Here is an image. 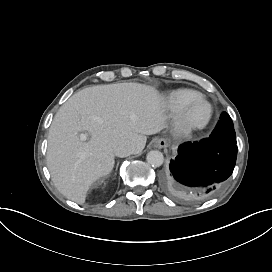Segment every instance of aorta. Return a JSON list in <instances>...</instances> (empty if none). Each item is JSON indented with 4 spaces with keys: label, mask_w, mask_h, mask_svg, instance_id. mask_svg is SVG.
I'll use <instances>...</instances> for the list:
<instances>
[{
    "label": "aorta",
    "mask_w": 272,
    "mask_h": 272,
    "mask_svg": "<svg viewBox=\"0 0 272 272\" xmlns=\"http://www.w3.org/2000/svg\"><path fill=\"white\" fill-rule=\"evenodd\" d=\"M164 157L160 151L152 150L147 154V162L154 167H159L163 164Z\"/></svg>",
    "instance_id": "1"
}]
</instances>
